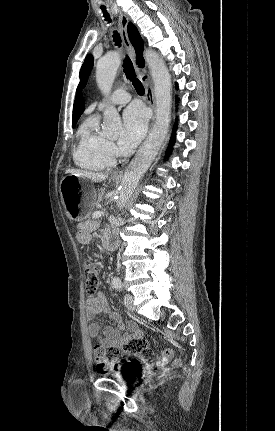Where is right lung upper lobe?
<instances>
[{"mask_svg": "<svg viewBox=\"0 0 275 431\" xmlns=\"http://www.w3.org/2000/svg\"><path fill=\"white\" fill-rule=\"evenodd\" d=\"M127 30H128L129 39L136 51L137 63L139 67H143L145 62L142 56V51H143L142 39L136 27L132 23L128 24ZM83 111H84V103L82 100V95L78 93L73 106L72 124H76V122L78 121Z\"/></svg>", "mask_w": 275, "mask_h": 431, "instance_id": "cb5924a9", "label": "right lung upper lobe"}]
</instances>
